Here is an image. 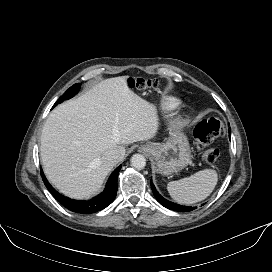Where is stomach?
Segmentation results:
<instances>
[{
	"mask_svg": "<svg viewBox=\"0 0 272 272\" xmlns=\"http://www.w3.org/2000/svg\"><path fill=\"white\" fill-rule=\"evenodd\" d=\"M148 148L155 160L156 171L162 175H170L185 168L191 159V151L187 137L180 130H172L163 143L143 145L141 150Z\"/></svg>",
	"mask_w": 272,
	"mask_h": 272,
	"instance_id": "obj_1",
	"label": "stomach"
}]
</instances>
